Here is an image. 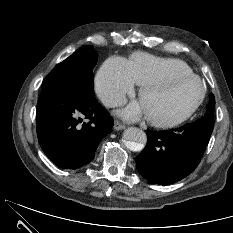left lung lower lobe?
<instances>
[{
    "instance_id": "0a47b994",
    "label": "left lung lower lobe",
    "mask_w": 233,
    "mask_h": 233,
    "mask_svg": "<svg viewBox=\"0 0 233 233\" xmlns=\"http://www.w3.org/2000/svg\"><path fill=\"white\" fill-rule=\"evenodd\" d=\"M213 127L194 122L172 131H147L136 157L139 173L154 184L168 185L188 176L200 163Z\"/></svg>"
}]
</instances>
